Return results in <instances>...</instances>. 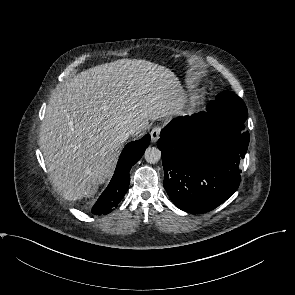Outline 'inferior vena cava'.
<instances>
[{"label":"inferior vena cava","instance_id":"1","mask_svg":"<svg viewBox=\"0 0 295 295\" xmlns=\"http://www.w3.org/2000/svg\"><path fill=\"white\" fill-rule=\"evenodd\" d=\"M139 132V128L136 127H128L126 128L123 132H121L118 136H117V140L120 143L125 142L130 136L135 135Z\"/></svg>","mask_w":295,"mask_h":295}]
</instances>
